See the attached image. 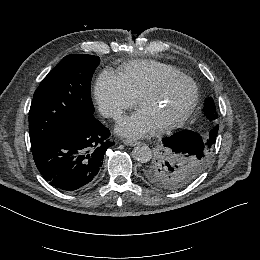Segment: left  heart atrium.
<instances>
[{
  "mask_svg": "<svg viewBox=\"0 0 260 260\" xmlns=\"http://www.w3.org/2000/svg\"><path fill=\"white\" fill-rule=\"evenodd\" d=\"M153 128V124L142 109H138L117 126L121 135L139 138L147 134Z\"/></svg>",
  "mask_w": 260,
  "mask_h": 260,
  "instance_id": "left-heart-atrium-1",
  "label": "left heart atrium"
}]
</instances>
